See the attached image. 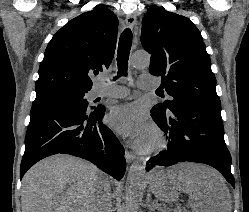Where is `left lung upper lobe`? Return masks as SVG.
<instances>
[{"mask_svg": "<svg viewBox=\"0 0 249 212\" xmlns=\"http://www.w3.org/2000/svg\"><path fill=\"white\" fill-rule=\"evenodd\" d=\"M141 42L151 54L150 73L162 76L161 87L173 98L155 108L163 113L187 105L221 110L210 57L200 31L188 18L149 8L142 21Z\"/></svg>", "mask_w": 249, "mask_h": 212, "instance_id": "5c2ea615", "label": "left lung upper lobe"}]
</instances>
